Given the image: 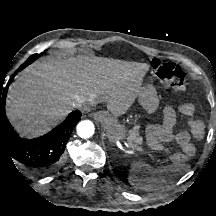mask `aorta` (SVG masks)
Here are the masks:
<instances>
[{
	"mask_svg": "<svg viewBox=\"0 0 216 216\" xmlns=\"http://www.w3.org/2000/svg\"><path fill=\"white\" fill-rule=\"evenodd\" d=\"M106 122L110 125L118 126L112 118H108ZM94 131V124L89 120L81 121L77 125V134L83 139L90 138L94 134Z\"/></svg>",
	"mask_w": 216,
	"mask_h": 216,
	"instance_id": "762f6f07",
	"label": "aorta"
}]
</instances>
